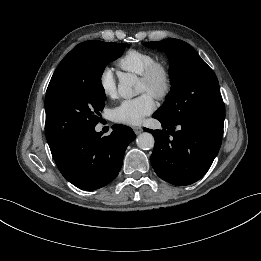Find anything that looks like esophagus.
I'll list each match as a JSON object with an SVG mask.
<instances>
[{"mask_svg":"<svg viewBox=\"0 0 261 261\" xmlns=\"http://www.w3.org/2000/svg\"><path fill=\"white\" fill-rule=\"evenodd\" d=\"M133 130L136 134H140L143 131V128L136 126V127H133Z\"/></svg>","mask_w":261,"mask_h":261,"instance_id":"34e87169","label":"esophagus"}]
</instances>
